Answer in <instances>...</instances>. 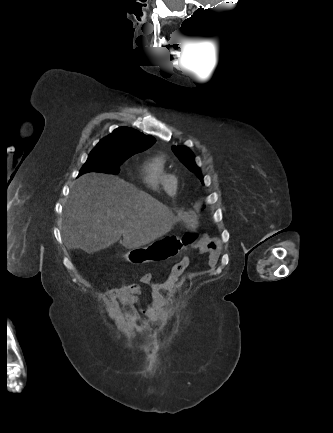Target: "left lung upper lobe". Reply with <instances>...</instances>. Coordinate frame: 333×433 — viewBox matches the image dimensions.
I'll return each mask as SVG.
<instances>
[{"label": "left lung upper lobe", "mask_w": 333, "mask_h": 433, "mask_svg": "<svg viewBox=\"0 0 333 433\" xmlns=\"http://www.w3.org/2000/svg\"><path fill=\"white\" fill-rule=\"evenodd\" d=\"M173 152L179 158V160L193 173L200 177L202 180V175L195 164L194 155L187 147L174 146L172 147Z\"/></svg>", "instance_id": "left-lung-upper-lobe-1"}]
</instances>
